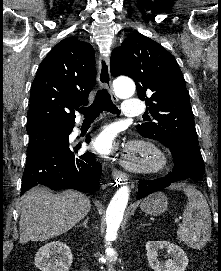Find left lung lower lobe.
<instances>
[{"mask_svg": "<svg viewBox=\"0 0 221 271\" xmlns=\"http://www.w3.org/2000/svg\"><path fill=\"white\" fill-rule=\"evenodd\" d=\"M172 152L175 166L168 176L154 180H140L137 199H141L155 191L170 186L173 182L191 178L200 181L204 174L205 166L199 155L189 151L178 144H164Z\"/></svg>", "mask_w": 221, "mask_h": 271, "instance_id": "obj_1", "label": "left lung lower lobe"}]
</instances>
